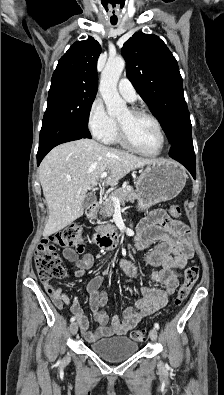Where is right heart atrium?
<instances>
[{"label":"right heart atrium","instance_id":"obj_1","mask_svg":"<svg viewBox=\"0 0 224 395\" xmlns=\"http://www.w3.org/2000/svg\"><path fill=\"white\" fill-rule=\"evenodd\" d=\"M87 125L93 137L99 140L108 138L116 127L115 119L108 114L99 97H96L89 106Z\"/></svg>","mask_w":224,"mask_h":395}]
</instances>
